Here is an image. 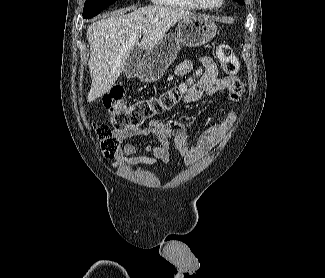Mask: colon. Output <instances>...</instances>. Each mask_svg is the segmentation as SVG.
I'll list each match as a JSON object with an SVG mask.
<instances>
[{
    "mask_svg": "<svg viewBox=\"0 0 325 278\" xmlns=\"http://www.w3.org/2000/svg\"><path fill=\"white\" fill-rule=\"evenodd\" d=\"M216 58L223 71L234 77L240 69V62L233 49L228 44H220L216 50ZM187 84L174 86L163 93L148 99L127 104L125 90L113 87L102 98V103L108 111L113 130L139 128L147 121L155 119L165 111L173 108L183 97ZM113 130L105 124L95 125V131L101 142L103 153L111 155L116 151V141Z\"/></svg>",
    "mask_w": 325,
    "mask_h": 278,
    "instance_id": "colon-1",
    "label": "colon"
}]
</instances>
